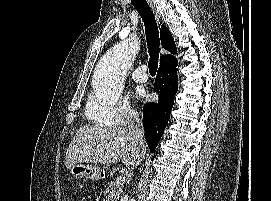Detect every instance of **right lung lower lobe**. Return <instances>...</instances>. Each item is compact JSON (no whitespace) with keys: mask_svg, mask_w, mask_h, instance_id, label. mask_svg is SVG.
Masks as SVG:
<instances>
[{"mask_svg":"<svg viewBox=\"0 0 271 201\" xmlns=\"http://www.w3.org/2000/svg\"><path fill=\"white\" fill-rule=\"evenodd\" d=\"M177 60L160 65L155 80L158 103H148L143 108L145 137L151 152L155 151L164 133L178 90Z\"/></svg>","mask_w":271,"mask_h":201,"instance_id":"98d812e1","label":"right lung lower lobe"}]
</instances>
